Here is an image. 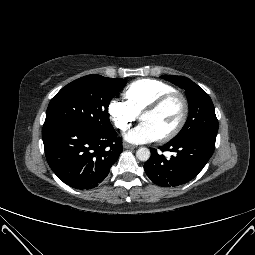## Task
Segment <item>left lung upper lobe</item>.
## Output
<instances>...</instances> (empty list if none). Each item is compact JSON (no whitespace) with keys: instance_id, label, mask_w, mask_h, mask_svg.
Segmentation results:
<instances>
[{"instance_id":"left-lung-upper-lobe-1","label":"left lung upper lobe","mask_w":255,"mask_h":255,"mask_svg":"<svg viewBox=\"0 0 255 255\" xmlns=\"http://www.w3.org/2000/svg\"><path fill=\"white\" fill-rule=\"evenodd\" d=\"M186 91L189 102V117L182 130L172 142L206 140L215 143L218 132V120L209 95L197 84L184 76L162 75Z\"/></svg>"}]
</instances>
